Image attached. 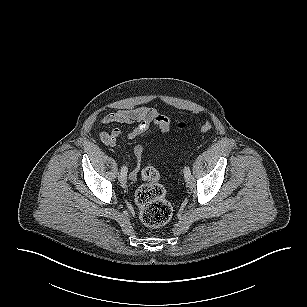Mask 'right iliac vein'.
I'll return each instance as SVG.
<instances>
[{
    "label": "right iliac vein",
    "mask_w": 307,
    "mask_h": 307,
    "mask_svg": "<svg viewBox=\"0 0 307 307\" xmlns=\"http://www.w3.org/2000/svg\"><path fill=\"white\" fill-rule=\"evenodd\" d=\"M118 178H119V181H120L122 184H126V182H127V175H126V174L120 172Z\"/></svg>",
    "instance_id": "right-iliac-vein-1"
}]
</instances>
